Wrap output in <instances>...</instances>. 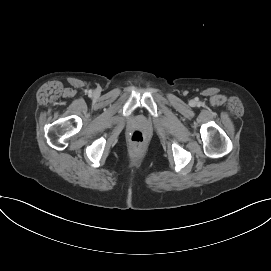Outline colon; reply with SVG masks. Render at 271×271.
I'll use <instances>...</instances> for the list:
<instances>
[{"label":"colon","instance_id":"colon-1","mask_svg":"<svg viewBox=\"0 0 271 271\" xmlns=\"http://www.w3.org/2000/svg\"><path fill=\"white\" fill-rule=\"evenodd\" d=\"M130 140L133 145L141 146L145 141V137L141 131L136 130V131L132 132V134L130 136Z\"/></svg>","mask_w":271,"mask_h":271}]
</instances>
